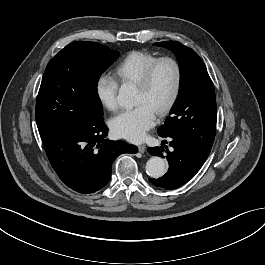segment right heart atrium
<instances>
[{"label": "right heart atrium", "mask_w": 265, "mask_h": 265, "mask_svg": "<svg viewBox=\"0 0 265 265\" xmlns=\"http://www.w3.org/2000/svg\"><path fill=\"white\" fill-rule=\"evenodd\" d=\"M118 82L110 75L102 74L95 82V94L98 102L105 109L114 111L118 107L117 102Z\"/></svg>", "instance_id": "d8ad5b80"}]
</instances>
